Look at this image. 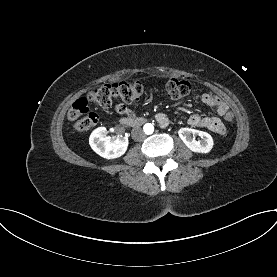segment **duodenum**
<instances>
[{
    "instance_id": "obj_1",
    "label": "duodenum",
    "mask_w": 277,
    "mask_h": 277,
    "mask_svg": "<svg viewBox=\"0 0 277 277\" xmlns=\"http://www.w3.org/2000/svg\"><path fill=\"white\" fill-rule=\"evenodd\" d=\"M144 122L145 119L141 117H124L121 119V124L127 127H138Z\"/></svg>"
}]
</instances>
